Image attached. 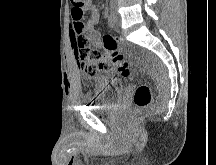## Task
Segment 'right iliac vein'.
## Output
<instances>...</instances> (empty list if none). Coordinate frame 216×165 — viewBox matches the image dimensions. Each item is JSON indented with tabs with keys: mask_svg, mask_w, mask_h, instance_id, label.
Returning a JSON list of instances; mask_svg holds the SVG:
<instances>
[{
	"mask_svg": "<svg viewBox=\"0 0 216 165\" xmlns=\"http://www.w3.org/2000/svg\"><path fill=\"white\" fill-rule=\"evenodd\" d=\"M112 10L114 11V7L112 8ZM113 17L116 20L117 19V15L113 12Z\"/></svg>",
	"mask_w": 216,
	"mask_h": 165,
	"instance_id": "1",
	"label": "right iliac vein"
}]
</instances>
